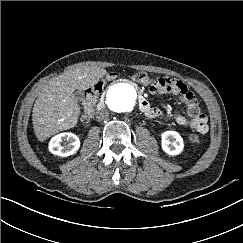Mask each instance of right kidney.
<instances>
[{"label":"right kidney","mask_w":243,"mask_h":243,"mask_svg":"<svg viewBox=\"0 0 243 243\" xmlns=\"http://www.w3.org/2000/svg\"><path fill=\"white\" fill-rule=\"evenodd\" d=\"M64 143V146L61 144ZM80 147L79 138L69 132L55 135L49 142V151L58 156L67 157L74 154Z\"/></svg>","instance_id":"1"}]
</instances>
